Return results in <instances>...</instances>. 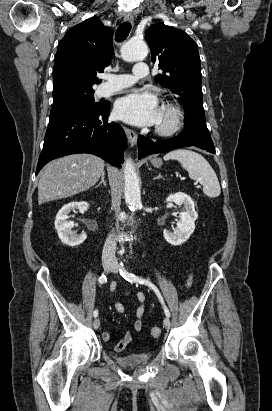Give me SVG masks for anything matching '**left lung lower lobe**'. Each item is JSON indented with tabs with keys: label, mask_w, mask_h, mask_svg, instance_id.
<instances>
[{
	"label": "left lung lower lobe",
	"mask_w": 272,
	"mask_h": 411,
	"mask_svg": "<svg viewBox=\"0 0 272 411\" xmlns=\"http://www.w3.org/2000/svg\"><path fill=\"white\" fill-rule=\"evenodd\" d=\"M189 146H195L215 154V147L206 124L185 125L178 136L166 140L153 141L142 135L138 137L139 159L150 154Z\"/></svg>",
	"instance_id": "1"
}]
</instances>
